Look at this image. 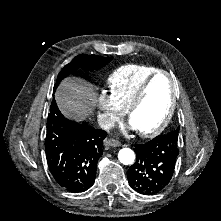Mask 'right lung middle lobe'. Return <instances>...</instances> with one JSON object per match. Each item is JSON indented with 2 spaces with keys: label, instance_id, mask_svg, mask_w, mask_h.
Returning <instances> with one entry per match:
<instances>
[{
  "label": "right lung middle lobe",
  "instance_id": "1",
  "mask_svg": "<svg viewBox=\"0 0 221 221\" xmlns=\"http://www.w3.org/2000/svg\"><path fill=\"white\" fill-rule=\"evenodd\" d=\"M113 58L112 57H102L96 55H85L80 54L76 56L69 64H67L59 73L57 77V82L54 86V90L59 85L60 81L74 72L78 67H82L85 70L93 71L98 70L104 67L109 63Z\"/></svg>",
  "mask_w": 221,
  "mask_h": 221
}]
</instances>
